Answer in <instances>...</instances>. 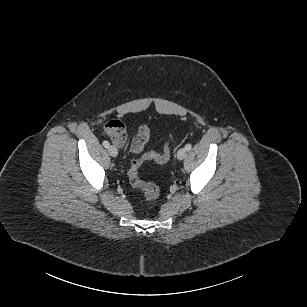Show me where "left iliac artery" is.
<instances>
[{
	"label": "left iliac artery",
	"instance_id": "1",
	"mask_svg": "<svg viewBox=\"0 0 307 307\" xmlns=\"http://www.w3.org/2000/svg\"><path fill=\"white\" fill-rule=\"evenodd\" d=\"M191 148H192V145L189 144V143L185 146V149H186L187 151L191 150Z\"/></svg>",
	"mask_w": 307,
	"mask_h": 307
}]
</instances>
